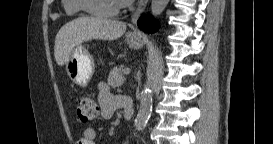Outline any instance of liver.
Returning <instances> with one entry per match:
<instances>
[{
    "mask_svg": "<svg viewBox=\"0 0 273 144\" xmlns=\"http://www.w3.org/2000/svg\"><path fill=\"white\" fill-rule=\"evenodd\" d=\"M126 31V24L99 17H79L61 27L55 38L54 56L58 65L66 64L73 49L92 39L116 40Z\"/></svg>",
    "mask_w": 273,
    "mask_h": 144,
    "instance_id": "liver-1",
    "label": "liver"
}]
</instances>
